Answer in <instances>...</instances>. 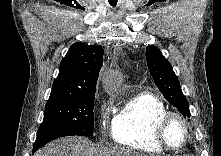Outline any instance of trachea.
<instances>
[{
    "label": "trachea",
    "instance_id": "trachea-1",
    "mask_svg": "<svg viewBox=\"0 0 221 156\" xmlns=\"http://www.w3.org/2000/svg\"><path fill=\"white\" fill-rule=\"evenodd\" d=\"M109 3H110L111 6H116L117 0H116V2H110V1H109Z\"/></svg>",
    "mask_w": 221,
    "mask_h": 156
}]
</instances>
